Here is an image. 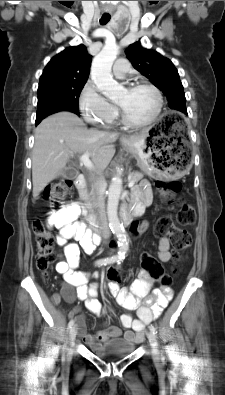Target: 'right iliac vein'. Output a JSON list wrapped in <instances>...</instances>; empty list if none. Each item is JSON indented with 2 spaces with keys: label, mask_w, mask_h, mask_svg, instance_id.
Instances as JSON below:
<instances>
[{
  "label": "right iliac vein",
  "mask_w": 225,
  "mask_h": 395,
  "mask_svg": "<svg viewBox=\"0 0 225 395\" xmlns=\"http://www.w3.org/2000/svg\"><path fill=\"white\" fill-rule=\"evenodd\" d=\"M76 335H77V327H76V326H73V327L70 329V333H69V339H70V343H71V344H72L73 341L75 340ZM72 353H73V351H72V349L70 348V349L68 350V353H67V359H68V360L71 359Z\"/></svg>",
  "instance_id": "1"
}]
</instances>
